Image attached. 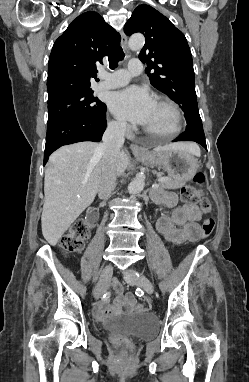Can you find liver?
<instances>
[{"instance_id":"obj_1","label":"liver","mask_w":249,"mask_h":382,"mask_svg":"<svg viewBox=\"0 0 249 382\" xmlns=\"http://www.w3.org/2000/svg\"><path fill=\"white\" fill-rule=\"evenodd\" d=\"M99 147L98 143L79 142L59 148L49 158V166L45 170L41 227L44 238L52 246L96 197L104 164V154ZM170 149H183L200 155V149L191 143H172L156 150ZM129 163V154L120 152L118 175L124 173Z\"/></svg>"}]
</instances>
